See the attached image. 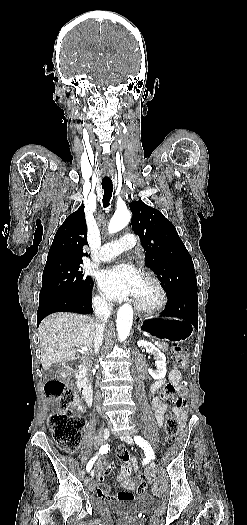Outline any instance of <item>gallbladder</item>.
I'll use <instances>...</instances> for the list:
<instances>
[{
	"instance_id": "bac80fb5",
	"label": "gallbladder",
	"mask_w": 247,
	"mask_h": 525,
	"mask_svg": "<svg viewBox=\"0 0 247 525\" xmlns=\"http://www.w3.org/2000/svg\"><path fill=\"white\" fill-rule=\"evenodd\" d=\"M41 372L47 379H57L60 371V363H54V365H45L42 367Z\"/></svg>"
}]
</instances>
